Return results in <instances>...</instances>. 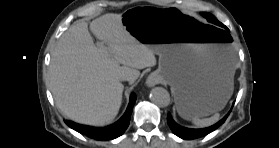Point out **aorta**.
I'll use <instances>...</instances> for the list:
<instances>
[{
	"instance_id": "1",
	"label": "aorta",
	"mask_w": 279,
	"mask_h": 148,
	"mask_svg": "<svg viewBox=\"0 0 279 148\" xmlns=\"http://www.w3.org/2000/svg\"><path fill=\"white\" fill-rule=\"evenodd\" d=\"M151 100L159 107H166L170 104V94L162 87H155L150 93Z\"/></svg>"
}]
</instances>
